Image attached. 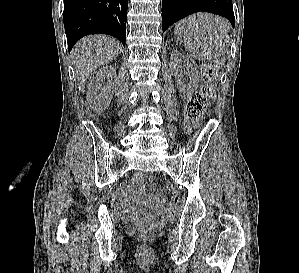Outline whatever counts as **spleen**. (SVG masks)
<instances>
[{
	"instance_id": "spleen-1",
	"label": "spleen",
	"mask_w": 299,
	"mask_h": 273,
	"mask_svg": "<svg viewBox=\"0 0 299 273\" xmlns=\"http://www.w3.org/2000/svg\"><path fill=\"white\" fill-rule=\"evenodd\" d=\"M227 20L208 13H197L179 21L174 34L190 55L198 61L217 59L229 47Z\"/></svg>"
}]
</instances>
